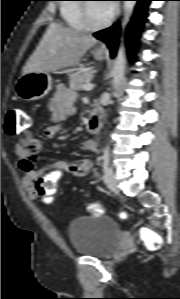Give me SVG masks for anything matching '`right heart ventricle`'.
<instances>
[{
	"label": "right heart ventricle",
	"mask_w": 180,
	"mask_h": 299,
	"mask_svg": "<svg viewBox=\"0 0 180 299\" xmlns=\"http://www.w3.org/2000/svg\"><path fill=\"white\" fill-rule=\"evenodd\" d=\"M60 12L65 23L76 30H85L82 21L81 4L75 3L79 0H64Z\"/></svg>",
	"instance_id": "right-heart-ventricle-1"
}]
</instances>
